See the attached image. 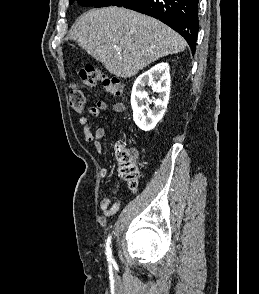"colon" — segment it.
<instances>
[{
	"mask_svg": "<svg viewBox=\"0 0 259 294\" xmlns=\"http://www.w3.org/2000/svg\"><path fill=\"white\" fill-rule=\"evenodd\" d=\"M80 79L82 84L88 88H95L100 83L104 91L113 96H119L123 92L122 84L117 78L111 77L92 66L85 67L80 71ZM69 102L72 109L77 113H84L88 110L86 97L79 84L71 85ZM117 159L128 186L135 189L138 185L139 172L131 153L120 146L117 149Z\"/></svg>",
	"mask_w": 259,
	"mask_h": 294,
	"instance_id": "1",
	"label": "colon"
}]
</instances>
